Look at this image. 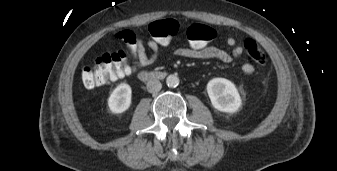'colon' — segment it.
I'll list each match as a JSON object with an SVG mask.
<instances>
[{"instance_id": "5ec220e1", "label": "colon", "mask_w": 337, "mask_h": 171, "mask_svg": "<svg viewBox=\"0 0 337 171\" xmlns=\"http://www.w3.org/2000/svg\"><path fill=\"white\" fill-rule=\"evenodd\" d=\"M149 34L163 48H170L180 33V25L175 19L156 20L148 26ZM215 30L200 23L190 24L184 35L192 47H203L215 37ZM246 53L258 64L265 65L267 57L261 46L253 39L244 42ZM129 57L123 51L98 55L93 63L82 72V82L86 88L108 85L129 71Z\"/></svg>"}]
</instances>
